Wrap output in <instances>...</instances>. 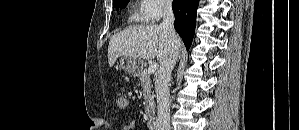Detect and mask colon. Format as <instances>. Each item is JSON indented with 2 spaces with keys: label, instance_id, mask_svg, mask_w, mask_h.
<instances>
[{
  "label": "colon",
  "instance_id": "colon-1",
  "mask_svg": "<svg viewBox=\"0 0 299 130\" xmlns=\"http://www.w3.org/2000/svg\"><path fill=\"white\" fill-rule=\"evenodd\" d=\"M117 106H118V108H120V109H126V107H127V99H126L125 96L120 95V96L117 98Z\"/></svg>",
  "mask_w": 299,
  "mask_h": 130
}]
</instances>
